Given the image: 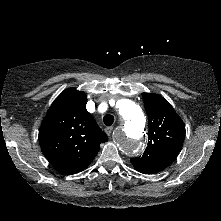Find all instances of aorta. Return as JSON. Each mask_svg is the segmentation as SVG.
Instances as JSON below:
<instances>
[{"label":"aorta","mask_w":221,"mask_h":221,"mask_svg":"<svg viewBox=\"0 0 221 221\" xmlns=\"http://www.w3.org/2000/svg\"><path fill=\"white\" fill-rule=\"evenodd\" d=\"M118 113L123 122L116 134V142L122 151L135 156L144 146L145 115L135 102L128 99L120 100Z\"/></svg>","instance_id":"obj_1"}]
</instances>
